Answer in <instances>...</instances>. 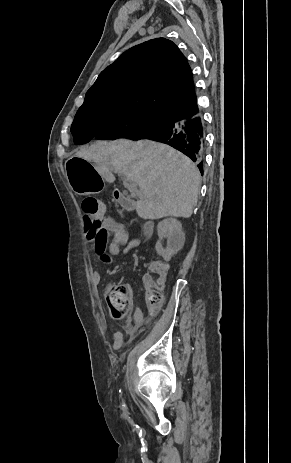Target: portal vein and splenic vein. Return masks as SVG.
I'll return each mask as SVG.
<instances>
[{
  "mask_svg": "<svg viewBox=\"0 0 291 463\" xmlns=\"http://www.w3.org/2000/svg\"><path fill=\"white\" fill-rule=\"evenodd\" d=\"M123 184L124 186L131 192V193H137V194H140L138 192V189H137V184L135 182H132L130 180H124L123 181Z\"/></svg>",
  "mask_w": 291,
  "mask_h": 463,
  "instance_id": "obj_1",
  "label": "portal vein and splenic vein"
}]
</instances>
